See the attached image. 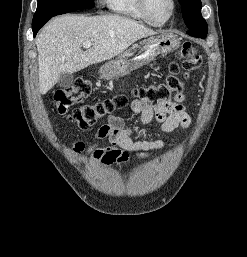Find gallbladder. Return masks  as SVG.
Wrapping results in <instances>:
<instances>
[{"instance_id":"1","label":"gallbladder","mask_w":247,"mask_h":257,"mask_svg":"<svg viewBox=\"0 0 247 257\" xmlns=\"http://www.w3.org/2000/svg\"><path fill=\"white\" fill-rule=\"evenodd\" d=\"M72 83L73 75L67 72L62 73L58 79V85L63 88L69 87Z\"/></svg>"}]
</instances>
